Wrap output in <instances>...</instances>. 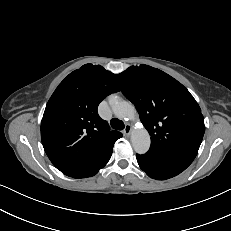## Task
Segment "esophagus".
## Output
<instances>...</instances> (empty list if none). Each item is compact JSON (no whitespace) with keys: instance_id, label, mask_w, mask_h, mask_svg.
Returning <instances> with one entry per match:
<instances>
[{"instance_id":"1","label":"esophagus","mask_w":231,"mask_h":231,"mask_svg":"<svg viewBox=\"0 0 231 231\" xmlns=\"http://www.w3.org/2000/svg\"><path fill=\"white\" fill-rule=\"evenodd\" d=\"M131 131H132V126L130 124H126L123 130L124 135L126 136L130 135Z\"/></svg>"}]
</instances>
